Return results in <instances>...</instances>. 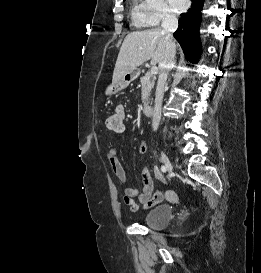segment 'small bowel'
Listing matches in <instances>:
<instances>
[{"label":"small bowel","mask_w":261,"mask_h":273,"mask_svg":"<svg viewBox=\"0 0 261 273\" xmlns=\"http://www.w3.org/2000/svg\"><path fill=\"white\" fill-rule=\"evenodd\" d=\"M113 115H118L122 120V128L117 132L124 131L123 121L126 117V109L124 105L119 104L115 107V112ZM147 142L141 140L138 153L144 155L147 152ZM118 150L117 148H111L108 151V160L111 167V170L115 177L121 182L125 183L126 175L124 168L120 161L118 160ZM155 177L161 179V174L158 170H155ZM142 182L143 187L141 192L135 188L126 187L124 189L123 201L129 207L131 212H137L139 210V205H142L143 209H149L159 204L164 199V193L161 191H154L153 180L150 174V171L147 167H144L142 170ZM168 193V192H167Z\"/></svg>","instance_id":"obj_1"}]
</instances>
